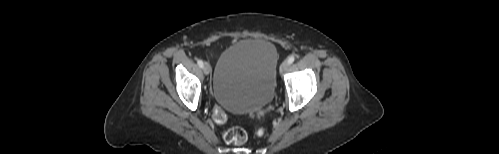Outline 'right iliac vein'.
Here are the masks:
<instances>
[{"label":"right iliac vein","instance_id":"63e3f726","mask_svg":"<svg viewBox=\"0 0 499 154\" xmlns=\"http://www.w3.org/2000/svg\"><path fill=\"white\" fill-rule=\"evenodd\" d=\"M210 71H211L210 65L207 62H205L204 65H203V72H204V74L205 75H209Z\"/></svg>","mask_w":499,"mask_h":154}]
</instances>
